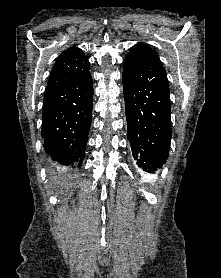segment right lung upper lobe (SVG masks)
<instances>
[{"label": "right lung upper lobe", "instance_id": "1", "mask_svg": "<svg viewBox=\"0 0 221 278\" xmlns=\"http://www.w3.org/2000/svg\"><path fill=\"white\" fill-rule=\"evenodd\" d=\"M90 63L82 50L73 46L58 57L51 72L46 90L74 81L89 72Z\"/></svg>", "mask_w": 221, "mask_h": 278}]
</instances>
